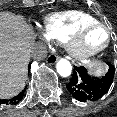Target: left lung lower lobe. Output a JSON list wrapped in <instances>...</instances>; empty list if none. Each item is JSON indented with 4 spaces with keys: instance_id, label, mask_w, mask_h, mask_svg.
<instances>
[{
    "instance_id": "obj_1",
    "label": "left lung lower lobe",
    "mask_w": 117,
    "mask_h": 117,
    "mask_svg": "<svg viewBox=\"0 0 117 117\" xmlns=\"http://www.w3.org/2000/svg\"><path fill=\"white\" fill-rule=\"evenodd\" d=\"M108 72L102 78L89 75L84 67H74L72 79L66 88L70 94L81 102L96 101L109 90L113 77L114 67L108 63Z\"/></svg>"
}]
</instances>
